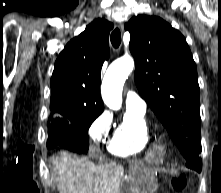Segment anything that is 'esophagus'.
I'll return each instance as SVG.
<instances>
[{"label":"esophagus","mask_w":221,"mask_h":193,"mask_svg":"<svg viewBox=\"0 0 221 193\" xmlns=\"http://www.w3.org/2000/svg\"><path fill=\"white\" fill-rule=\"evenodd\" d=\"M118 27H119V29H120L121 31H122L123 28H124L123 24H121V23L118 25Z\"/></svg>","instance_id":"esophagus-1"}]
</instances>
